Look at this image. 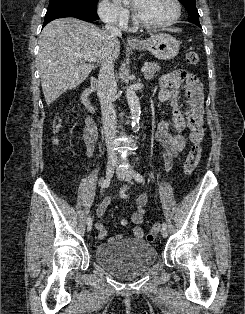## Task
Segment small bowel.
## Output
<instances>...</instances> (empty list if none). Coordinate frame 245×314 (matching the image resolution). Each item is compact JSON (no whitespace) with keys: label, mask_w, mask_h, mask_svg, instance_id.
Segmentation results:
<instances>
[{"label":"small bowel","mask_w":245,"mask_h":314,"mask_svg":"<svg viewBox=\"0 0 245 314\" xmlns=\"http://www.w3.org/2000/svg\"><path fill=\"white\" fill-rule=\"evenodd\" d=\"M158 99L171 108V117L157 124L154 138L162 148V155L167 171L171 170L175 158L188 144L198 143L204 135L203 122V87L197 76L183 70L172 71L165 74L159 84ZM188 129L189 134L183 135V130ZM83 139L86 145L88 157H92L97 141V132L93 123L88 120L84 130ZM129 186L124 185L120 191L122 199L128 200L127 190ZM148 197L146 193L140 195L136 200V211L130 219H122L121 224L127 226L133 224L132 237L142 239L144 230L141 224L144 222ZM109 204L105 200L99 207L97 215L102 216ZM98 238L103 239L107 235L106 228L98 223ZM121 234L114 235L108 239L116 242L123 239Z\"/></svg>","instance_id":"obj_1"}]
</instances>
